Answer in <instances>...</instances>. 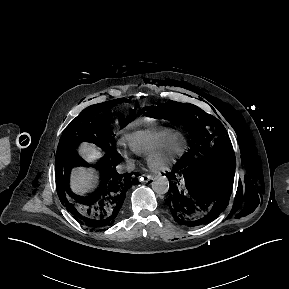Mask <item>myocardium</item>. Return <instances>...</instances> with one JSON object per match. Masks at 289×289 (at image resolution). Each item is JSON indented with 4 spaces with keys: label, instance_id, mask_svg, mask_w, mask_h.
Segmentation results:
<instances>
[{
    "label": "myocardium",
    "instance_id": "f54148a6",
    "mask_svg": "<svg viewBox=\"0 0 289 289\" xmlns=\"http://www.w3.org/2000/svg\"><path fill=\"white\" fill-rule=\"evenodd\" d=\"M174 145L178 147L174 149ZM187 149V139L182 134H178L150 152L147 155V164L154 172L170 170L186 154Z\"/></svg>",
    "mask_w": 289,
    "mask_h": 289
}]
</instances>
